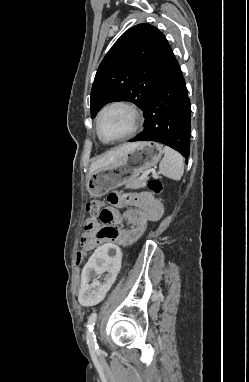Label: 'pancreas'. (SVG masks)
Returning a JSON list of instances; mask_svg holds the SVG:
<instances>
[{"label":"pancreas","mask_w":249,"mask_h":382,"mask_svg":"<svg viewBox=\"0 0 249 382\" xmlns=\"http://www.w3.org/2000/svg\"><path fill=\"white\" fill-rule=\"evenodd\" d=\"M147 179H148L147 177L144 179L131 177L126 180L125 187L128 189H139L145 185Z\"/></svg>","instance_id":"pancreas-1"}]
</instances>
